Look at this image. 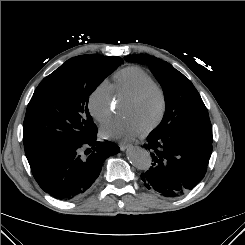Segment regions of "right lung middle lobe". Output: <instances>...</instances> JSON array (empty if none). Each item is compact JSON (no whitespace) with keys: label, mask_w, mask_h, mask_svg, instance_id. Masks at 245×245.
Instances as JSON below:
<instances>
[{"label":"right lung middle lobe","mask_w":245,"mask_h":245,"mask_svg":"<svg viewBox=\"0 0 245 245\" xmlns=\"http://www.w3.org/2000/svg\"><path fill=\"white\" fill-rule=\"evenodd\" d=\"M122 63L117 56L81 55L67 60L41 81L23 124L29 162L96 134L88 111L89 96Z\"/></svg>","instance_id":"1"}]
</instances>
